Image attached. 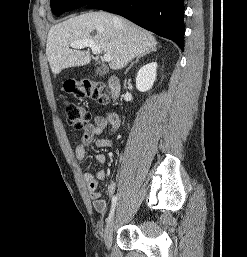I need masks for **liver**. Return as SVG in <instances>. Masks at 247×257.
Masks as SVG:
<instances>
[{"instance_id": "1", "label": "liver", "mask_w": 247, "mask_h": 257, "mask_svg": "<svg viewBox=\"0 0 247 257\" xmlns=\"http://www.w3.org/2000/svg\"><path fill=\"white\" fill-rule=\"evenodd\" d=\"M92 40L111 56L109 67L122 69L136 56L155 51L157 41L153 34L134 23L106 12H89L69 18L50 28L46 44V55L52 72L87 65L91 61L90 51L70 49L78 40Z\"/></svg>"}]
</instances>
